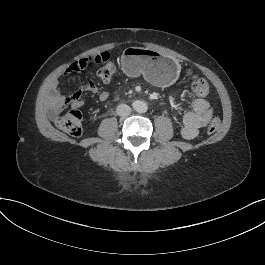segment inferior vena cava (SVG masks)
I'll use <instances>...</instances> for the list:
<instances>
[{"mask_svg": "<svg viewBox=\"0 0 265 265\" xmlns=\"http://www.w3.org/2000/svg\"><path fill=\"white\" fill-rule=\"evenodd\" d=\"M116 112L119 116H127L131 113V108L126 104H120L117 107Z\"/></svg>", "mask_w": 265, "mask_h": 265, "instance_id": "inferior-vena-cava-1", "label": "inferior vena cava"}]
</instances>
